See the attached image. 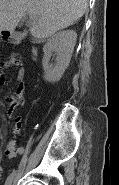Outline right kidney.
Segmentation results:
<instances>
[{
	"mask_svg": "<svg viewBox=\"0 0 119 185\" xmlns=\"http://www.w3.org/2000/svg\"><path fill=\"white\" fill-rule=\"evenodd\" d=\"M77 34L73 30L61 31L49 38L43 47L42 59L44 79L47 82H57L61 79L65 69L68 67L71 55L76 44ZM55 52V63L50 64V58Z\"/></svg>",
	"mask_w": 119,
	"mask_h": 185,
	"instance_id": "obj_1",
	"label": "right kidney"
}]
</instances>
